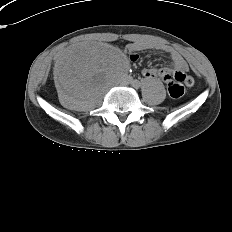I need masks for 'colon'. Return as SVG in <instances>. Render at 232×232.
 <instances>
[{
  "label": "colon",
  "mask_w": 232,
  "mask_h": 232,
  "mask_svg": "<svg viewBox=\"0 0 232 232\" xmlns=\"http://www.w3.org/2000/svg\"><path fill=\"white\" fill-rule=\"evenodd\" d=\"M184 84L191 85L192 79L183 74H176L167 81L168 92L172 98H180L184 94Z\"/></svg>",
  "instance_id": "5ec220e1"
}]
</instances>
